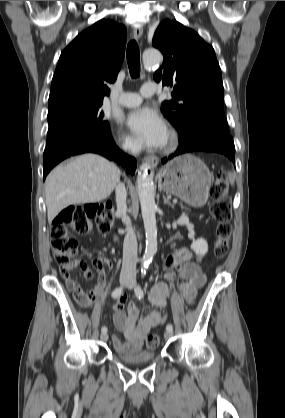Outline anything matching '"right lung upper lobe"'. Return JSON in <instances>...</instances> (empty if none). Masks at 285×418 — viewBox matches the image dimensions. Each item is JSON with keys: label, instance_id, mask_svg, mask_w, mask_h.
Returning a JSON list of instances; mask_svg holds the SVG:
<instances>
[{"label": "right lung upper lobe", "instance_id": "1", "mask_svg": "<svg viewBox=\"0 0 285 418\" xmlns=\"http://www.w3.org/2000/svg\"><path fill=\"white\" fill-rule=\"evenodd\" d=\"M126 28L102 19L80 33L61 53L48 104L67 100L103 102L124 59Z\"/></svg>", "mask_w": 285, "mask_h": 418}]
</instances>
